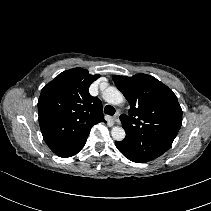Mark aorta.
Instances as JSON below:
<instances>
[{
    "mask_svg": "<svg viewBox=\"0 0 211 211\" xmlns=\"http://www.w3.org/2000/svg\"><path fill=\"white\" fill-rule=\"evenodd\" d=\"M102 97L106 102L113 105H119L124 101L123 94L113 86L106 88L102 93ZM111 136L114 140L122 141L126 133L122 127H113L111 129Z\"/></svg>",
    "mask_w": 211,
    "mask_h": 211,
    "instance_id": "obj_1",
    "label": "aorta"
}]
</instances>
